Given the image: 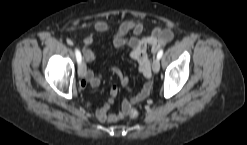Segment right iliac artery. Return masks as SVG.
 <instances>
[{"label":"right iliac artery","mask_w":247,"mask_h":145,"mask_svg":"<svg viewBox=\"0 0 247 145\" xmlns=\"http://www.w3.org/2000/svg\"><path fill=\"white\" fill-rule=\"evenodd\" d=\"M75 54H76L77 62H78V64H80L82 61V56H81L80 51L78 49H75Z\"/></svg>","instance_id":"1"}]
</instances>
